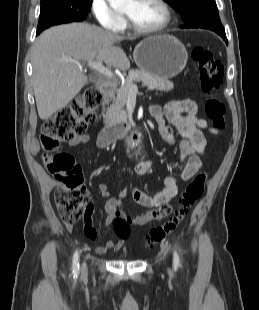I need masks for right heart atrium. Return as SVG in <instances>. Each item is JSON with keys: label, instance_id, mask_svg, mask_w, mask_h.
I'll return each instance as SVG.
<instances>
[{"label": "right heart atrium", "instance_id": "1", "mask_svg": "<svg viewBox=\"0 0 259 310\" xmlns=\"http://www.w3.org/2000/svg\"><path fill=\"white\" fill-rule=\"evenodd\" d=\"M91 11L102 27L114 32L125 28L124 16L116 12L107 0H92Z\"/></svg>", "mask_w": 259, "mask_h": 310}]
</instances>
